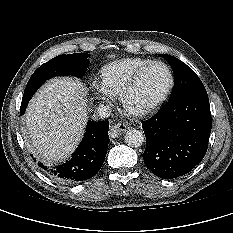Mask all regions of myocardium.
I'll return each mask as SVG.
<instances>
[{
  "instance_id": "1",
  "label": "myocardium",
  "mask_w": 233,
  "mask_h": 233,
  "mask_svg": "<svg viewBox=\"0 0 233 233\" xmlns=\"http://www.w3.org/2000/svg\"><path fill=\"white\" fill-rule=\"evenodd\" d=\"M154 66H162L164 67L169 75V82L165 90L162 92V94L150 105L140 108V109H135L130 105V96L134 92V90L137 88L138 84L140 83L142 77L144 74L152 67ZM174 85V75L171 70V68L164 62L162 61H153L144 67H142L130 80V82L127 84L125 89L123 90L121 94V102L124 110L131 116L136 117V118H143L147 117L154 112H156L159 107L164 103L168 95L170 94L172 88Z\"/></svg>"
}]
</instances>
